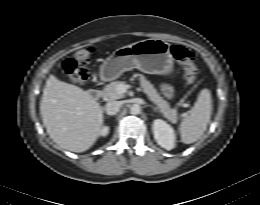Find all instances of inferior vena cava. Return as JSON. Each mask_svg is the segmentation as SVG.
Listing matches in <instances>:
<instances>
[{
    "label": "inferior vena cava",
    "instance_id": "inferior-vena-cava-1",
    "mask_svg": "<svg viewBox=\"0 0 260 205\" xmlns=\"http://www.w3.org/2000/svg\"><path fill=\"white\" fill-rule=\"evenodd\" d=\"M120 107V101H110L106 104L105 111L108 115H115L119 112Z\"/></svg>",
    "mask_w": 260,
    "mask_h": 205
}]
</instances>
